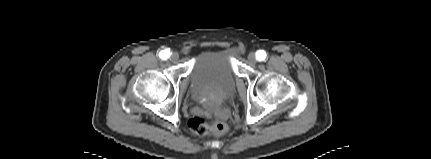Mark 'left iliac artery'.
<instances>
[{
    "label": "left iliac artery",
    "mask_w": 431,
    "mask_h": 159,
    "mask_svg": "<svg viewBox=\"0 0 431 159\" xmlns=\"http://www.w3.org/2000/svg\"><path fill=\"white\" fill-rule=\"evenodd\" d=\"M266 52L264 50H259L256 52V57L259 61H263L266 58Z\"/></svg>",
    "instance_id": "left-iliac-artery-1"
}]
</instances>
